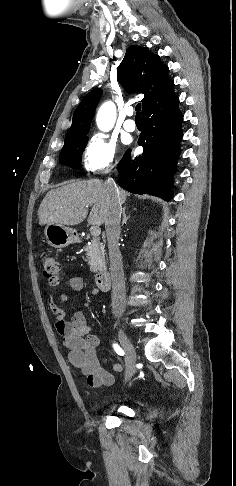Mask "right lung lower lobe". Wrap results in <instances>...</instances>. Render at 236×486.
I'll return each mask as SVG.
<instances>
[{"label":"right lung lower lobe","mask_w":236,"mask_h":486,"mask_svg":"<svg viewBox=\"0 0 236 486\" xmlns=\"http://www.w3.org/2000/svg\"><path fill=\"white\" fill-rule=\"evenodd\" d=\"M178 104V97L172 93L142 110L144 126L138 144L144 151L132 160L131 150H127L118 165L119 185L127 191L165 200L172 197L171 174L175 171L182 138L183 115Z\"/></svg>","instance_id":"right-lung-lower-lobe-1"}]
</instances>
